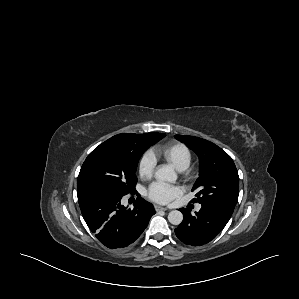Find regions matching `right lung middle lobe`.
Wrapping results in <instances>:
<instances>
[{
  "label": "right lung middle lobe",
  "mask_w": 299,
  "mask_h": 299,
  "mask_svg": "<svg viewBox=\"0 0 299 299\" xmlns=\"http://www.w3.org/2000/svg\"><path fill=\"white\" fill-rule=\"evenodd\" d=\"M164 136L163 133H146L135 150H126L110 139L103 142L84 161L77 190L84 186H95L123 196L135 191V172L140 156Z\"/></svg>",
  "instance_id": "right-lung-middle-lobe-1"
}]
</instances>
